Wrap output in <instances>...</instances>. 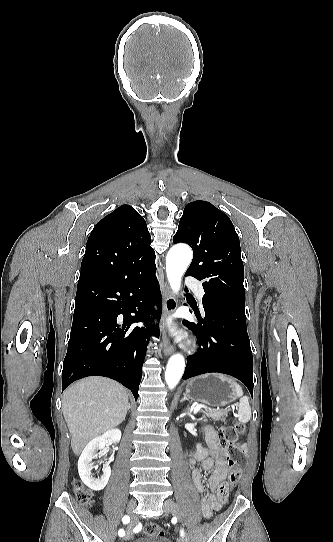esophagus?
Returning a JSON list of instances; mask_svg holds the SVG:
<instances>
[{"label": "esophagus", "mask_w": 333, "mask_h": 542, "mask_svg": "<svg viewBox=\"0 0 333 542\" xmlns=\"http://www.w3.org/2000/svg\"><path fill=\"white\" fill-rule=\"evenodd\" d=\"M165 292H164V315H169L177 309V300L172 294L167 282H165ZM163 343V353L164 355H170L174 352V346L170 342L166 332L163 333L162 337Z\"/></svg>", "instance_id": "obj_1"}]
</instances>
